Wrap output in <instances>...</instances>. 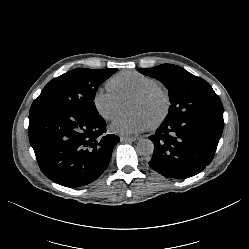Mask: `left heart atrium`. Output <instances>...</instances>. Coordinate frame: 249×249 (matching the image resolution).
<instances>
[{"label":"left heart atrium","instance_id":"obj_1","mask_svg":"<svg viewBox=\"0 0 249 249\" xmlns=\"http://www.w3.org/2000/svg\"><path fill=\"white\" fill-rule=\"evenodd\" d=\"M149 123L141 114L118 115L109 126L112 133L135 135L147 130Z\"/></svg>","mask_w":249,"mask_h":249}]
</instances>
